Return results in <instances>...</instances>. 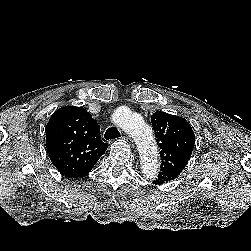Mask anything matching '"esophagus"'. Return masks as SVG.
I'll return each instance as SVG.
<instances>
[{"label":"esophagus","instance_id":"34e87169","mask_svg":"<svg viewBox=\"0 0 251 251\" xmlns=\"http://www.w3.org/2000/svg\"><path fill=\"white\" fill-rule=\"evenodd\" d=\"M122 138H123L124 140H126L127 143L130 144V146L134 147V140H133L131 137L125 135V136H123Z\"/></svg>","mask_w":251,"mask_h":251}]
</instances>
